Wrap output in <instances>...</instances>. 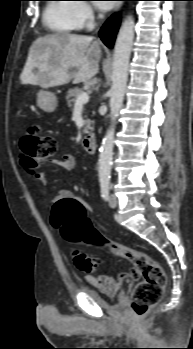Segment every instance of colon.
I'll list each match as a JSON object with an SVG mask.
<instances>
[{"label":"colon","instance_id":"5ec220e1","mask_svg":"<svg viewBox=\"0 0 193 349\" xmlns=\"http://www.w3.org/2000/svg\"><path fill=\"white\" fill-rule=\"evenodd\" d=\"M20 150L26 165L36 169L55 155L57 142L52 136L43 134L38 125H31L20 140ZM51 223L61 231L67 241H86L133 263L142 276V281L136 286L130 303L133 314L144 315L149 308L160 301L166 284L163 268L148 255L102 236L86 217L85 207L81 203L76 200L55 203ZM73 259L75 265L86 273L93 272L99 265L97 258L78 249L73 252Z\"/></svg>","mask_w":193,"mask_h":349}]
</instances>
